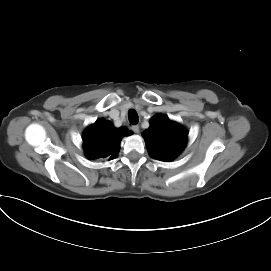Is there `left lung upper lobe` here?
Wrapping results in <instances>:
<instances>
[{
	"label": "left lung upper lobe",
	"instance_id": "1",
	"mask_svg": "<svg viewBox=\"0 0 271 271\" xmlns=\"http://www.w3.org/2000/svg\"><path fill=\"white\" fill-rule=\"evenodd\" d=\"M187 135L180 124L162 114L154 116L149 129L143 132L150 156L160 161L175 159L185 148Z\"/></svg>",
	"mask_w": 271,
	"mask_h": 271
}]
</instances>
